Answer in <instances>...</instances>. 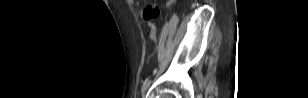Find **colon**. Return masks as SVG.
<instances>
[{"mask_svg":"<svg viewBox=\"0 0 308 98\" xmlns=\"http://www.w3.org/2000/svg\"><path fill=\"white\" fill-rule=\"evenodd\" d=\"M143 14L149 18H154L159 14V8L157 6L149 7L143 11ZM149 38L152 42L156 41V36L153 32L149 34Z\"/></svg>","mask_w":308,"mask_h":98,"instance_id":"obj_1","label":"colon"}]
</instances>
